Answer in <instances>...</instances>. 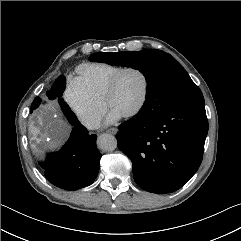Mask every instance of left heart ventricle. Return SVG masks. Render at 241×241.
<instances>
[{
    "mask_svg": "<svg viewBox=\"0 0 241 241\" xmlns=\"http://www.w3.org/2000/svg\"><path fill=\"white\" fill-rule=\"evenodd\" d=\"M144 90L142 75L135 70L123 73L109 99L108 107L122 116L132 111L139 103Z\"/></svg>",
    "mask_w": 241,
    "mask_h": 241,
    "instance_id": "obj_1",
    "label": "left heart ventricle"
}]
</instances>
